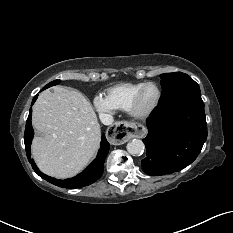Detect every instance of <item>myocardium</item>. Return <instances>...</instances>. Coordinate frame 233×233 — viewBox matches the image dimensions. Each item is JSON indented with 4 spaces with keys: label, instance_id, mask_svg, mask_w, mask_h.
Returning a JSON list of instances; mask_svg holds the SVG:
<instances>
[{
    "label": "myocardium",
    "instance_id": "myocardium-1",
    "mask_svg": "<svg viewBox=\"0 0 233 233\" xmlns=\"http://www.w3.org/2000/svg\"><path fill=\"white\" fill-rule=\"evenodd\" d=\"M148 86H154L156 88L157 98H156L155 102L150 107H148L146 109H142L140 106L141 97H142L144 89ZM161 96H162L161 89L156 83L146 82L135 93V95L130 103V106L128 108V112L135 118L145 119L158 107V105L161 101Z\"/></svg>",
    "mask_w": 233,
    "mask_h": 233
}]
</instances>
